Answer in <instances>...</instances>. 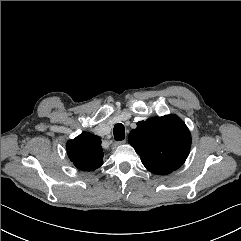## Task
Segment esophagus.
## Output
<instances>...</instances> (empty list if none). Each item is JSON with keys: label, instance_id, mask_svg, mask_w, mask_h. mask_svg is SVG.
Returning <instances> with one entry per match:
<instances>
[{"label": "esophagus", "instance_id": "esophagus-1", "mask_svg": "<svg viewBox=\"0 0 241 241\" xmlns=\"http://www.w3.org/2000/svg\"><path fill=\"white\" fill-rule=\"evenodd\" d=\"M126 141L125 140H121V141H116L113 143L112 147L115 148L116 146H118L119 144H123L125 143Z\"/></svg>", "mask_w": 241, "mask_h": 241}]
</instances>
